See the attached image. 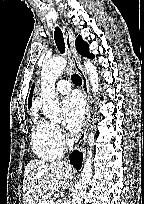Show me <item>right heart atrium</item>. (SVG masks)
<instances>
[{"label":"right heart atrium","instance_id":"obj_1","mask_svg":"<svg viewBox=\"0 0 144 204\" xmlns=\"http://www.w3.org/2000/svg\"><path fill=\"white\" fill-rule=\"evenodd\" d=\"M52 136L54 141L62 148L64 149L68 144V137L65 134V132L56 125H52Z\"/></svg>","mask_w":144,"mask_h":204}]
</instances>
